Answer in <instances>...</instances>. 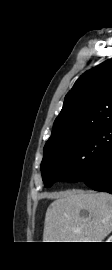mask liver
Segmentation results:
<instances>
[{"mask_svg": "<svg viewBox=\"0 0 112 270\" xmlns=\"http://www.w3.org/2000/svg\"><path fill=\"white\" fill-rule=\"evenodd\" d=\"M46 211L43 242H102L112 232V195L64 191Z\"/></svg>", "mask_w": 112, "mask_h": 270, "instance_id": "liver-1", "label": "liver"}]
</instances>
